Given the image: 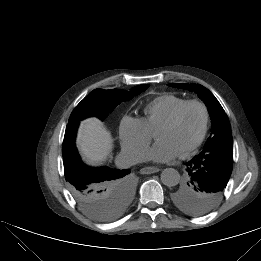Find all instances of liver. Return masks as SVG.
<instances>
[{"instance_id": "liver-1", "label": "liver", "mask_w": 261, "mask_h": 261, "mask_svg": "<svg viewBox=\"0 0 261 261\" xmlns=\"http://www.w3.org/2000/svg\"><path fill=\"white\" fill-rule=\"evenodd\" d=\"M77 146L83 158L90 164H99L106 160L113 147V139L97 118H88L81 122Z\"/></svg>"}]
</instances>
